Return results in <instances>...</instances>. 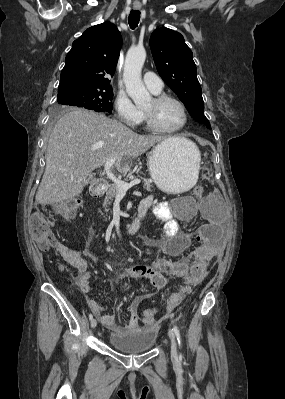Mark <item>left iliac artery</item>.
Instances as JSON below:
<instances>
[{
	"label": "left iliac artery",
	"mask_w": 285,
	"mask_h": 399,
	"mask_svg": "<svg viewBox=\"0 0 285 399\" xmlns=\"http://www.w3.org/2000/svg\"><path fill=\"white\" fill-rule=\"evenodd\" d=\"M173 331H174V333H175V335H176V337H177V340H178V344H179V348H181V337H180V332H179V330H178V328L177 327H173ZM181 354V353H180Z\"/></svg>",
	"instance_id": "1"
}]
</instances>
